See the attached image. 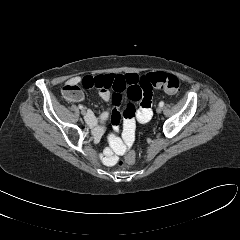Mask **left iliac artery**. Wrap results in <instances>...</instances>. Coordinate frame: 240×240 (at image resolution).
I'll return each mask as SVG.
<instances>
[{
	"mask_svg": "<svg viewBox=\"0 0 240 240\" xmlns=\"http://www.w3.org/2000/svg\"><path fill=\"white\" fill-rule=\"evenodd\" d=\"M159 106H160V107H163V106H164V102L161 101V102L159 103Z\"/></svg>",
	"mask_w": 240,
	"mask_h": 240,
	"instance_id": "left-iliac-artery-1",
	"label": "left iliac artery"
}]
</instances>
